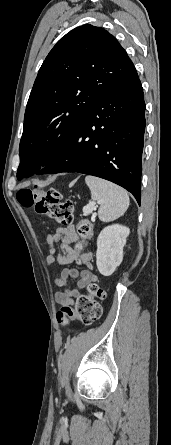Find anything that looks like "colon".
<instances>
[{
    "label": "colon",
    "instance_id": "colon-1",
    "mask_svg": "<svg viewBox=\"0 0 171 445\" xmlns=\"http://www.w3.org/2000/svg\"><path fill=\"white\" fill-rule=\"evenodd\" d=\"M18 202L30 208L39 217H49L60 224L71 226L79 239L76 250L84 248L85 243L93 236V224L87 218L75 220L72 201L63 199L58 190L50 189L41 191L31 188H23L17 194ZM105 291L97 284L88 286V293L81 295L75 307L63 306L57 313V321L66 325L71 319H78L84 325H92L102 316L101 301L105 300Z\"/></svg>",
    "mask_w": 171,
    "mask_h": 445
}]
</instances>
